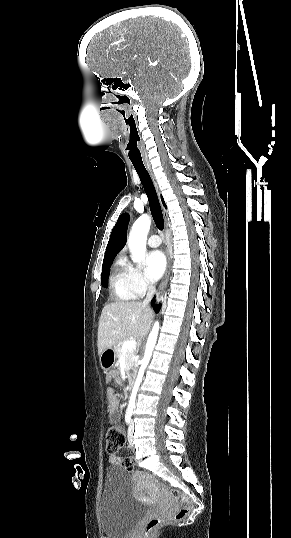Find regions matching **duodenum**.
Here are the masks:
<instances>
[{
	"label": "duodenum",
	"instance_id": "duodenum-1",
	"mask_svg": "<svg viewBox=\"0 0 291 538\" xmlns=\"http://www.w3.org/2000/svg\"><path fill=\"white\" fill-rule=\"evenodd\" d=\"M132 377H133V374H132L131 372H128V373L126 374V378H125L126 383H125V386H126L127 388H132V387L134 386Z\"/></svg>",
	"mask_w": 291,
	"mask_h": 538
}]
</instances>
